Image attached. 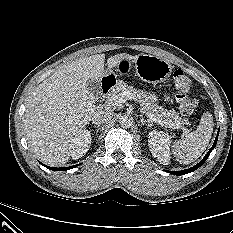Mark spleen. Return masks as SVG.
Returning <instances> with one entry per match:
<instances>
[{
  "label": "spleen",
  "instance_id": "3e777b00",
  "mask_svg": "<svg viewBox=\"0 0 233 233\" xmlns=\"http://www.w3.org/2000/svg\"><path fill=\"white\" fill-rule=\"evenodd\" d=\"M213 116L204 113L197 129L172 145L173 154L181 164H190L206 150L213 133Z\"/></svg>",
  "mask_w": 233,
  "mask_h": 233
}]
</instances>
